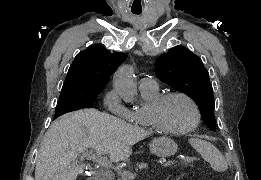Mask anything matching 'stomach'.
I'll return each mask as SVG.
<instances>
[{
	"label": "stomach",
	"instance_id": "1",
	"mask_svg": "<svg viewBox=\"0 0 261 180\" xmlns=\"http://www.w3.org/2000/svg\"><path fill=\"white\" fill-rule=\"evenodd\" d=\"M150 151L159 157H169L174 155L177 150V144L169 137H158L149 144Z\"/></svg>",
	"mask_w": 261,
	"mask_h": 180
}]
</instances>
